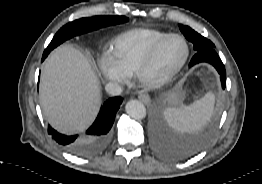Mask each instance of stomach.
<instances>
[{
  "mask_svg": "<svg viewBox=\"0 0 262 184\" xmlns=\"http://www.w3.org/2000/svg\"><path fill=\"white\" fill-rule=\"evenodd\" d=\"M180 96L179 95H172L170 98V104H172L173 106L178 105L180 103Z\"/></svg>",
  "mask_w": 262,
  "mask_h": 184,
  "instance_id": "stomach-1",
  "label": "stomach"
}]
</instances>
